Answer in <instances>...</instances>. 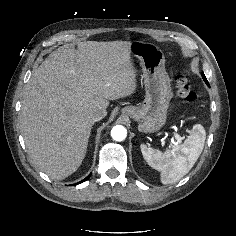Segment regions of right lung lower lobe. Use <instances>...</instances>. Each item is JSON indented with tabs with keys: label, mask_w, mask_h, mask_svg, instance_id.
I'll list each match as a JSON object with an SVG mask.
<instances>
[{
	"label": "right lung lower lobe",
	"mask_w": 236,
	"mask_h": 236,
	"mask_svg": "<svg viewBox=\"0 0 236 236\" xmlns=\"http://www.w3.org/2000/svg\"><path fill=\"white\" fill-rule=\"evenodd\" d=\"M90 176H91V174L88 175V176H87L83 181H81V182H84V181L88 180ZM81 182H80V183H81Z\"/></svg>",
	"instance_id": "98d812e1"
}]
</instances>
